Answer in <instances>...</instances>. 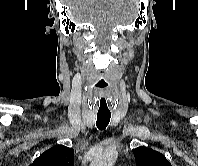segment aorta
<instances>
[{
	"label": "aorta",
	"mask_w": 198,
	"mask_h": 166,
	"mask_svg": "<svg viewBox=\"0 0 198 166\" xmlns=\"http://www.w3.org/2000/svg\"><path fill=\"white\" fill-rule=\"evenodd\" d=\"M116 158V152L104 151L94 158L90 166H113Z\"/></svg>",
	"instance_id": "obj_1"
}]
</instances>
